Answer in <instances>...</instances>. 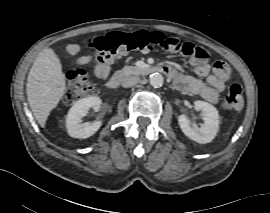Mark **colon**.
Segmentation results:
<instances>
[{
	"label": "colon",
	"mask_w": 270,
	"mask_h": 213,
	"mask_svg": "<svg viewBox=\"0 0 270 213\" xmlns=\"http://www.w3.org/2000/svg\"><path fill=\"white\" fill-rule=\"evenodd\" d=\"M167 46L168 49H179L183 54L194 56L197 59H206L207 51L192 43H181L176 38H169L159 31H138L133 34L114 32L112 34L92 39L89 47L95 51L93 61L97 63H112L118 54L126 51L147 52L151 46ZM215 72L219 77L227 78L229 68L222 62L214 64ZM96 88L82 68L76 69L67 76L64 101L74 104L80 99L94 93ZM222 108L225 110L240 109L243 105V90L238 83H231L222 99Z\"/></svg>",
	"instance_id": "obj_1"
}]
</instances>
